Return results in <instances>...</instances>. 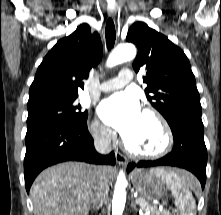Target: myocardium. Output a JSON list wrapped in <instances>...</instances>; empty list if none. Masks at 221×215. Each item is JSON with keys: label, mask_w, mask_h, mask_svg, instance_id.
I'll return each mask as SVG.
<instances>
[{"label": "myocardium", "mask_w": 221, "mask_h": 215, "mask_svg": "<svg viewBox=\"0 0 221 215\" xmlns=\"http://www.w3.org/2000/svg\"><path fill=\"white\" fill-rule=\"evenodd\" d=\"M146 116L151 117L159 126L163 142L159 149L155 151H140L132 148L125 138L122 139V145L124 149L134 157L143 158V159H157L170 152L173 146V134L171 127L166 120V118L154 108H145L143 113Z\"/></svg>", "instance_id": "1"}]
</instances>
